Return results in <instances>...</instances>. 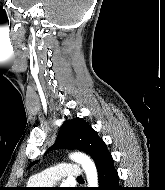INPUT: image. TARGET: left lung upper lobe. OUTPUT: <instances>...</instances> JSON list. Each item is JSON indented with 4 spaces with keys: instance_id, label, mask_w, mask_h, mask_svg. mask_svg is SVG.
<instances>
[{
    "instance_id": "1",
    "label": "left lung upper lobe",
    "mask_w": 165,
    "mask_h": 190,
    "mask_svg": "<svg viewBox=\"0 0 165 190\" xmlns=\"http://www.w3.org/2000/svg\"><path fill=\"white\" fill-rule=\"evenodd\" d=\"M58 148L81 149L92 157L95 164L109 155L105 142L84 119L78 117L65 121L61 126L56 142L50 149Z\"/></svg>"
}]
</instances>
